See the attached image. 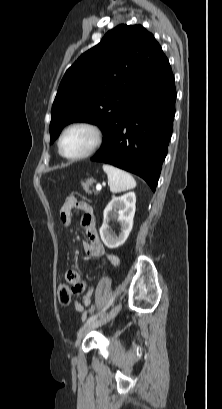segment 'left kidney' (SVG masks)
I'll list each match as a JSON object with an SVG mask.
<instances>
[{"mask_svg":"<svg viewBox=\"0 0 222 409\" xmlns=\"http://www.w3.org/2000/svg\"><path fill=\"white\" fill-rule=\"evenodd\" d=\"M136 196L134 192H128L120 197L113 198L103 212V224L100 228V237L110 249L117 248L125 243L133 226V218L135 214ZM117 218L121 224V232L119 236H114L107 222Z\"/></svg>","mask_w":222,"mask_h":409,"instance_id":"1","label":"left kidney"}]
</instances>
